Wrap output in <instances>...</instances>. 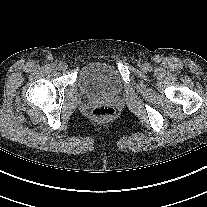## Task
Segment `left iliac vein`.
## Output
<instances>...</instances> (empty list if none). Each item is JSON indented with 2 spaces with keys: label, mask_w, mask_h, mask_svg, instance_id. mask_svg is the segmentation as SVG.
I'll list each match as a JSON object with an SVG mask.
<instances>
[{
  "label": "left iliac vein",
  "mask_w": 207,
  "mask_h": 207,
  "mask_svg": "<svg viewBox=\"0 0 207 207\" xmlns=\"http://www.w3.org/2000/svg\"><path fill=\"white\" fill-rule=\"evenodd\" d=\"M139 67H140L141 69H143V70H144V69H146V68H147V65H145V64H140V65H139Z\"/></svg>",
  "instance_id": "1"
}]
</instances>
